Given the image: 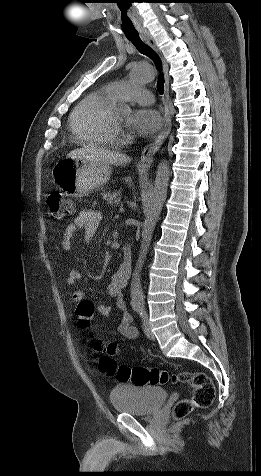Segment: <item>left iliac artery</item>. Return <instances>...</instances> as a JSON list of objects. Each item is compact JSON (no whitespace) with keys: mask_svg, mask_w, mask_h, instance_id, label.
<instances>
[{"mask_svg":"<svg viewBox=\"0 0 261 476\" xmlns=\"http://www.w3.org/2000/svg\"><path fill=\"white\" fill-rule=\"evenodd\" d=\"M139 314L142 315L143 314V307H141L139 310H138Z\"/></svg>","mask_w":261,"mask_h":476,"instance_id":"obj_1","label":"left iliac artery"}]
</instances>
